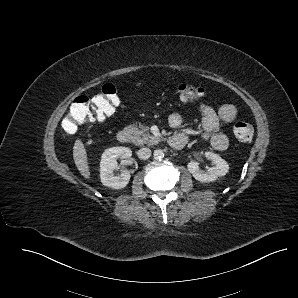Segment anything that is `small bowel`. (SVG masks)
<instances>
[{
    "mask_svg": "<svg viewBox=\"0 0 298 298\" xmlns=\"http://www.w3.org/2000/svg\"><path fill=\"white\" fill-rule=\"evenodd\" d=\"M199 111L202 115L203 138L209 140L211 146L218 151L228 149L230 141L226 134L219 131L222 123L233 121L237 116V109L232 104H224L218 109L209 105H201ZM170 126L177 128L182 124V117L178 113L170 114Z\"/></svg>",
    "mask_w": 298,
    "mask_h": 298,
    "instance_id": "c3829d8e",
    "label": "small bowel"
}]
</instances>
